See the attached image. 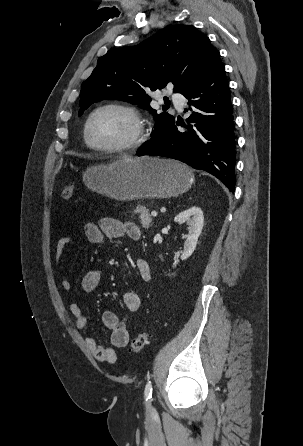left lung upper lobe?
I'll return each instance as SVG.
<instances>
[{"label": "left lung upper lobe", "instance_id": "5c2ea615", "mask_svg": "<svg viewBox=\"0 0 303 446\" xmlns=\"http://www.w3.org/2000/svg\"><path fill=\"white\" fill-rule=\"evenodd\" d=\"M217 53L209 38L190 25L168 27L136 46L111 49L82 83L79 114L105 99L142 103L156 121L154 138L174 117L152 109L145 89L155 91L171 82L173 91L182 94L197 82Z\"/></svg>", "mask_w": 303, "mask_h": 446}]
</instances>
